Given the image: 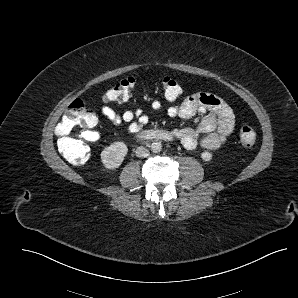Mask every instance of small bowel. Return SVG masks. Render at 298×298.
I'll list each match as a JSON object with an SVG mask.
<instances>
[{
	"instance_id": "small-bowel-1",
	"label": "small bowel",
	"mask_w": 298,
	"mask_h": 298,
	"mask_svg": "<svg viewBox=\"0 0 298 298\" xmlns=\"http://www.w3.org/2000/svg\"><path fill=\"white\" fill-rule=\"evenodd\" d=\"M150 108L155 113L182 119L203 115L196 128L172 131V135L188 150L198 145L207 150L218 149L226 143L235 127V116L230 106L218 96L206 92L193 93L169 107H164L159 100H152ZM101 113L114 125L126 124L130 133H138L150 121L149 115L141 108L118 113L110 106L103 105Z\"/></svg>"
}]
</instances>
